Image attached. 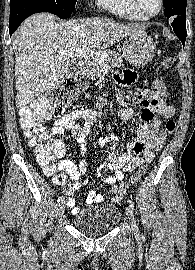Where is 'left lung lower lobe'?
Instances as JSON below:
<instances>
[{"label":"left lung lower lobe","mask_w":195,"mask_h":270,"mask_svg":"<svg viewBox=\"0 0 195 270\" xmlns=\"http://www.w3.org/2000/svg\"><path fill=\"white\" fill-rule=\"evenodd\" d=\"M171 25L173 26V30L176 36L182 41L183 48L185 45V40L187 36L186 32V15H177L170 19Z\"/></svg>","instance_id":"0a47b994"}]
</instances>
